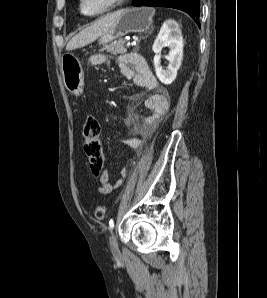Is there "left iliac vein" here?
<instances>
[{"instance_id":"4c4485c4","label":"left iliac vein","mask_w":267,"mask_h":298,"mask_svg":"<svg viewBox=\"0 0 267 298\" xmlns=\"http://www.w3.org/2000/svg\"><path fill=\"white\" fill-rule=\"evenodd\" d=\"M109 243H110L112 252L114 254H118L119 253L118 243H117V239H116L114 232H112L110 235Z\"/></svg>"}]
</instances>
